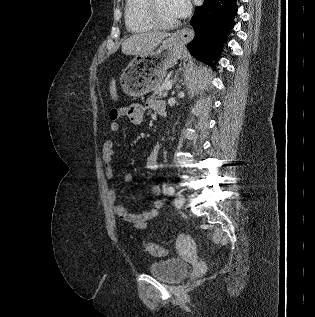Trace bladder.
<instances>
[{
  "mask_svg": "<svg viewBox=\"0 0 315 317\" xmlns=\"http://www.w3.org/2000/svg\"><path fill=\"white\" fill-rule=\"evenodd\" d=\"M149 273L165 282L174 283L182 280L187 273V264L180 258H169L152 262Z\"/></svg>",
  "mask_w": 315,
  "mask_h": 317,
  "instance_id": "bladder-1",
  "label": "bladder"
}]
</instances>
